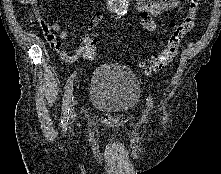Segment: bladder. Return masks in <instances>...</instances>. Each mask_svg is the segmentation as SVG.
I'll return each instance as SVG.
<instances>
[{
	"label": "bladder",
	"instance_id": "bladder-1",
	"mask_svg": "<svg viewBox=\"0 0 221 174\" xmlns=\"http://www.w3.org/2000/svg\"><path fill=\"white\" fill-rule=\"evenodd\" d=\"M140 97V81L129 67L106 63L94 70L88 91L93 106L108 113H125L137 106Z\"/></svg>",
	"mask_w": 221,
	"mask_h": 174
}]
</instances>
